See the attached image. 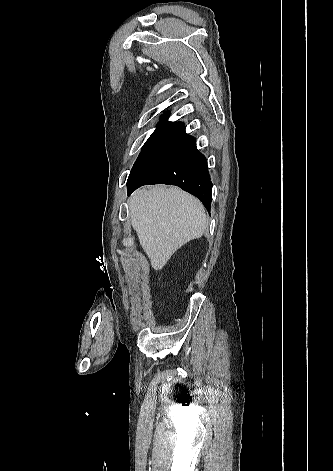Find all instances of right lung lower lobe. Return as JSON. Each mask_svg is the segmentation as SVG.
Here are the masks:
<instances>
[{
    "label": "right lung lower lobe",
    "mask_w": 333,
    "mask_h": 471,
    "mask_svg": "<svg viewBox=\"0 0 333 471\" xmlns=\"http://www.w3.org/2000/svg\"><path fill=\"white\" fill-rule=\"evenodd\" d=\"M159 183L179 186L198 197L210 212L212 182L207 160L183 122H176L140 154L127 180L128 195L140 186Z\"/></svg>",
    "instance_id": "right-lung-lower-lobe-1"
}]
</instances>
